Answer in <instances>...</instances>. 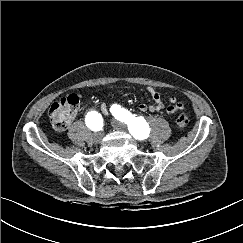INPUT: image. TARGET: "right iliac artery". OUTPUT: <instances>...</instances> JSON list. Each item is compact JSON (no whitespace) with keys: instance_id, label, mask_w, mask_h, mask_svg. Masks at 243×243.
<instances>
[{"instance_id":"82829eb1","label":"right iliac artery","mask_w":243,"mask_h":243,"mask_svg":"<svg viewBox=\"0 0 243 243\" xmlns=\"http://www.w3.org/2000/svg\"><path fill=\"white\" fill-rule=\"evenodd\" d=\"M86 125L93 131H98L102 127L103 119L96 111L88 112L85 118Z\"/></svg>"}]
</instances>
